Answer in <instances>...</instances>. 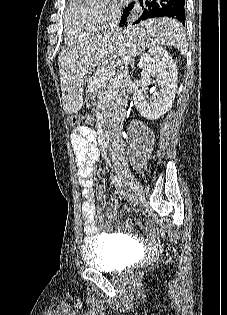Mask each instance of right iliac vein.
I'll return each instance as SVG.
<instances>
[{
	"instance_id": "1",
	"label": "right iliac vein",
	"mask_w": 227,
	"mask_h": 315,
	"mask_svg": "<svg viewBox=\"0 0 227 315\" xmlns=\"http://www.w3.org/2000/svg\"><path fill=\"white\" fill-rule=\"evenodd\" d=\"M118 176L121 178L123 183L125 185H128L132 191L137 195L138 197L143 196V189L140 183L135 179L130 172L127 170H118L117 171Z\"/></svg>"
}]
</instances>
